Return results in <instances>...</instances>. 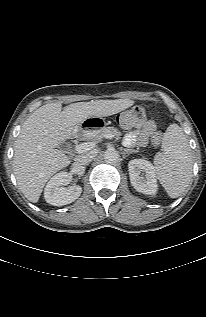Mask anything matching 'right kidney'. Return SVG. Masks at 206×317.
<instances>
[{
  "mask_svg": "<svg viewBox=\"0 0 206 317\" xmlns=\"http://www.w3.org/2000/svg\"><path fill=\"white\" fill-rule=\"evenodd\" d=\"M70 179V173L63 171L54 175L47 183L44 198L47 203L54 206H63L74 202L81 195L79 185L62 187Z\"/></svg>",
  "mask_w": 206,
  "mask_h": 317,
  "instance_id": "right-kidney-1",
  "label": "right kidney"
}]
</instances>
